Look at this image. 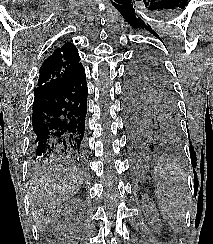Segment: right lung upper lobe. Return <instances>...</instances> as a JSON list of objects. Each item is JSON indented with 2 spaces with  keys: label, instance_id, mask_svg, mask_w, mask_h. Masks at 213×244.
<instances>
[{
  "label": "right lung upper lobe",
  "instance_id": "1",
  "mask_svg": "<svg viewBox=\"0 0 213 244\" xmlns=\"http://www.w3.org/2000/svg\"><path fill=\"white\" fill-rule=\"evenodd\" d=\"M79 61L76 47L70 42L61 43L40 67L37 87H55L67 82L83 68Z\"/></svg>",
  "mask_w": 213,
  "mask_h": 244
}]
</instances>
